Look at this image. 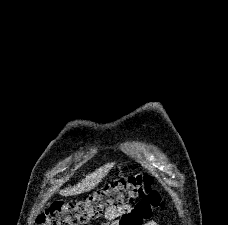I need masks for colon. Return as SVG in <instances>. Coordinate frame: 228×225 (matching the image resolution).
<instances>
[{
    "instance_id": "5ec220e1",
    "label": "colon",
    "mask_w": 228,
    "mask_h": 225,
    "mask_svg": "<svg viewBox=\"0 0 228 225\" xmlns=\"http://www.w3.org/2000/svg\"><path fill=\"white\" fill-rule=\"evenodd\" d=\"M162 206L161 194L153 188L149 175L120 178L81 201L56 200L38 217V225H85L102 217L106 211L114 212L131 205L135 200Z\"/></svg>"
}]
</instances>
